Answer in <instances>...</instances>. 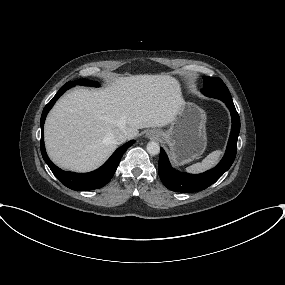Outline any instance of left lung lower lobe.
<instances>
[{
	"label": "left lung lower lobe",
	"mask_w": 285,
	"mask_h": 285,
	"mask_svg": "<svg viewBox=\"0 0 285 285\" xmlns=\"http://www.w3.org/2000/svg\"><path fill=\"white\" fill-rule=\"evenodd\" d=\"M232 117V128L224 157L219 164L201 174L180 173L174 170L165 151L160 149L158 172L163 184L170 190L182 193L197 192L215 183L232 165L237 152V139L240 131V117L233 102H226Z\"/></svg>",
	"instance_id": "1"
}]
</instances>
